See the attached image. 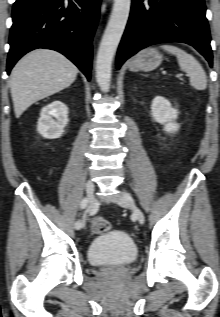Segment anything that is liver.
<instances>
[{
	"mask_svg": "<svg viewBox=\"0 0 220 317\" xmlns=\"http://www.w3.org/2000/svg\"><path fill=\"white\" fill-rule=\"evenodd\" d=\"M77 73L78 68L56 51L37 49L26 54L9 80L16 118L33 103L70 86Z\"/></svg>",
	"mask_w": 220,
	"mask_h": 317,
	"instance_id": "obj_1",
	"label": "liver"
}]
</instances>
